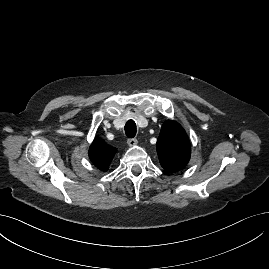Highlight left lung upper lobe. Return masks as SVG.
Instances as JSON below:
<instances>
[{
    "instance_id": "5c2ea615",
    "label": "left lung upper lobe",
    "mask_w": 269,
    "mask_h": 269,
    "mask_svg": "<svg viewBox=\"0 0 269 269\" xmlns=\"http://www.w3.org/2000/svg\"><path fill=\"white\" fill-rule=\"evenodd\" d=\"M161 166L169 172L184 168L190 159V142L185 130L175 121L164 122L157 143Z\"/></svg>"
}]
</instances>
